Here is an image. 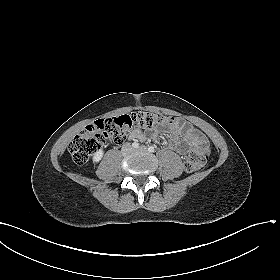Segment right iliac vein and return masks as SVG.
<instances>
[{
  "label": "right iliac vein",
  "mask_w": 280,
  "mask_h": 280,
  "mask_svg": "<svg viewBox=\"0 0 280 280\" xmlns=\"http://www.w3.org/2000/svg\"><path fill=\"white\" fill-rule=\"evenodd\" d=\"M123 151H124L125 153H130V152H132V148H131L130 146H125L124 149H123Z\"/></svg>",
  "instance_id": "obj_1"
}]
</instances>
